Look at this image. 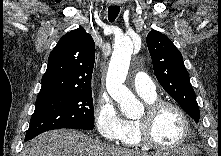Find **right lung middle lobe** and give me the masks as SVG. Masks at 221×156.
Returning <instances> with one entry per match:
<instances>
[{
	"label": "right lung middle lobe",
	"mask_w": 221,
	"mask_h": 156,
	"mask_svg": "<svg viewBox=\"0 0 221 156\" xmlns=\"http://www.w3.org/2000/svg\"><path fill=\"white\" fill-rule=\"evenodd\" d=\"M93 117L91 90L38 98L25 140L58 128L92 130Z\"/></svg>",
	"instance_id": "dd1d6c3e"
}]
</instances>
